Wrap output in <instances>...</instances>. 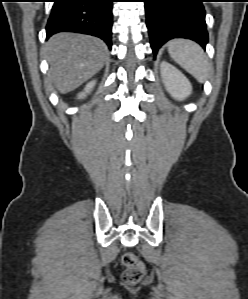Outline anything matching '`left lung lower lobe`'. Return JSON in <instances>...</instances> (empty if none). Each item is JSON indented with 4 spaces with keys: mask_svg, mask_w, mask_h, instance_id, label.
<instances>
[{
    "mask_svg": "<svg viewBox=\"0 0 248 299\" xmlns=\"http://www.w3.org/2000/svg\"><path fill=\"white\" fill-rule=\"evenodd\" d=\"M150 44L154 55L168 40L186 38L205 48L208 33L204 0H144Z\"/></svg>",
    "mask_w": 248,
    "mask_h": 299,
    "instance_id": "1",
    "label": "left lung lower lobe"
}]
</instances>
